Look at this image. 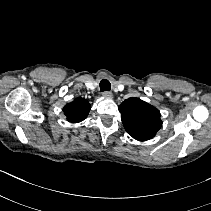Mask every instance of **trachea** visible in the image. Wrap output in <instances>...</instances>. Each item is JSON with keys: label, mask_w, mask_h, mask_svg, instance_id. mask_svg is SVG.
<instances>
[{"label": "trachea", "mask_w": 211, "mask_h": 211, "mask_svg": "<svg viewBox=\"0 0 211 211\" xmlns=\"http://www.w3.org/2000/svg\"><path fill=\"white\" fill-rule=\"evenodd\" d=\"M111 89V84L107 79H102L100 81V91H110Z\"/></svg>", "instance_id": "obj_1"}]
</instances>
